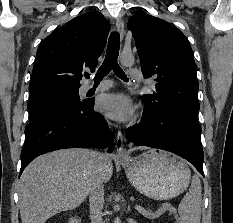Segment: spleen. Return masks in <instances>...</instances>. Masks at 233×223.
<instances>
[{"label":"spleen","instance_id":"spleen-1","mask_svg":"<svg viewBox=\"0 0 233 223\" xmlns=\"http://www.w3.org/2000/svg\"><path fill=\"white\" fill-rule=\"evenodd\" d=\"M201 197L200 177L199 175H193L190 189L179 203L180 223H200Z\"/></svg>","mask_w":233,"mask_h":223}]
</instances>
